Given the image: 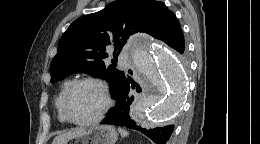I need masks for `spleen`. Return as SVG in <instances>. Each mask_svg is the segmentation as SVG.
Returning a JSON list of instances; mask_svg holds the SVG:
<instances>
[{
    "instance_id": "3e777b00",
    "label": "spleen",
    "mask_w": 260,
    "mask_h": 144,
    "mask_svg": "<svg viewBox=\"0 0 260 144\" xmlns=\"http://www.w3.org/2000/svg\"><path fill=\"white\" fill-rule=\"evenodd\" d=\"M118 131H119V133H120V135H121L122 137H127V136L129 135V132L126 131L125 129L118 128Z\"/></svg>"
}]
</instances>
